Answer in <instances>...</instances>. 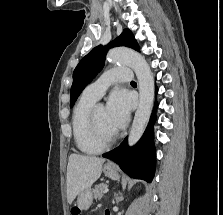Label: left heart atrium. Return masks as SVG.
<instances>
[{"label":"left heart atrium","mask_w":223,"mask_h":215,"mask_svg":"<svg viewBox=\"0 0 223 215\" xmlns=\"http://www.w3.org/2000/svg\"><path fill=\"white\" fill-rule=\"evenodd\" d=\"M132 100L125 90L114 91L108 99L106 115L109 122L119 129L126 124L129 118Z\"/></svg>","instance_id":"obj_1"}]
</instances>
